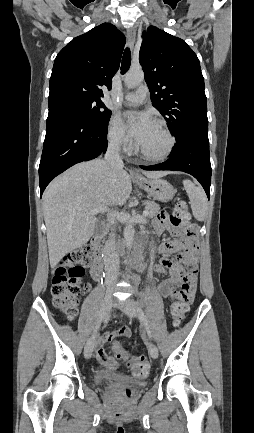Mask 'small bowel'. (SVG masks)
Listing matches in <instances>:
<instances>
[{"label":"small bowel","mask_w":254,"mask_h":433,"mask_svg":"<svg viewBox=\"0 0 254 433\" xmlns=\"http://www.w3.org/2000/svg\"><path fill=\"white\" fill-rule=\"evenodd\" d=\"M154 227L157 233L170 230L178 237L175 240L166 241L160 245L161 262L152 266V271L156 274H165L168 270L171 273V278L160 283V295L164 299L176 298L183 302L191 300L196 288L198 272L195 237L185 234L182 229H177L163 223L160 219L154 222ZM172 253H178L176 261H171L168 258ZM177 287H180V290L176 292L175 288ZM123 328L127 331L126 335H122L119 329L102 334L97 341V359L108 371L116 370L119 362L104 349V345L117 337H130L132 334L131 330L126 327Z\"/></svg>","instance_id":"obj_1"}]
</instances>
